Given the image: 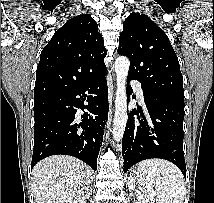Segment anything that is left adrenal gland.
Listing matches in <instances>:
<instances>
[{"label": "left adrenal gland", "instance_id": "left-adrenal-gland-1", "mask_svg": "<svg viewBox=\"0 0 214 203\" xmlns=\"http://www.w3.org/2000/svg\"><path fill=\"white\" fill-rule=\"evenodd\" d=\"M129 191H130V196H132L133 195V193L131 192V189L129 188Z\"/></svg>", "mask_w": 214, "mask_h": 203}]
</instances>
